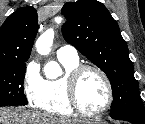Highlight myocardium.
<instances>
[{"label": "myocardium", "instance_id": "1", "mask_svg": "<svg viewBox=\"0 0 145 124\" xmlns=\"http://www.w3.org/2000/svg\"><path fill=\"white\" fill-rule=\"evenodd\" d=\"M87 71L96 72L103 80L107 89V101L105 105L99 111L94 113L86 112L83 109L79 100V93H78L79 82L83 74L86 73ZM66 84H67V94H68L69 103L71 107L74 109V111L82 117L99 118L108 111V109L111 107L113 103L114 92H113L111 80L108 77V75L105 73V71L102 70L100 67L94 65H87V64L78 65L68 73Z\"/></svg>", "mask_w": 145, "mask_h": 124}]
</instances>
